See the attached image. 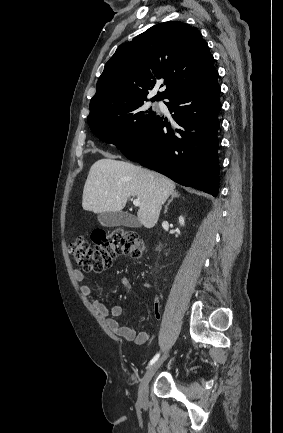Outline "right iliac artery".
Segmentation results:
<instances>
[{"instance_id":"82829eb1","label":"right iliac artery","mask_w":283,"mask_h":433,"mask_svg":"<svg viewBox=\"0 0 283 433\" xmlns=\"http://www.w3.org/2000/svg\"><path fill=\"white\" fill-rule=\"evenodd\" d=\"M159 356H160V353H157V354H156V355H155V356L150 360L149 366L152 365L153 363H155V362L158 360Z\"/></svg>"}]
</instances>
